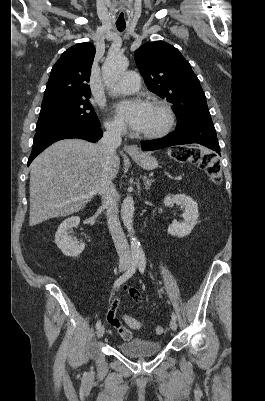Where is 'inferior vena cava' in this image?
<instances>
[{"mask_svg": "<svg viewBox=\"0 0 265 401\" xmlns=\"http://www.w3.org/2000/svg\"><path fill=\"white\" fill-rule=\"evenodd\" d=\"M105 128L106 130L98 144H100L104 150L107 168L102 178H100V182L97 184L94 192H99L103 198V205H105L107 209L108 229L112 235L119 259H128V261H131L128 243L118 219L117 201L119 194L115 188V184L112 182V176L109 172V168L113 164L115 150L121 144L123 126H121V124H106Z\"/></svg>", "mask_w": 265, "mask_h": 401, "instance_id": "inferior-vena-cava-1", "label": "inferior vena cava"}]
</instances>
